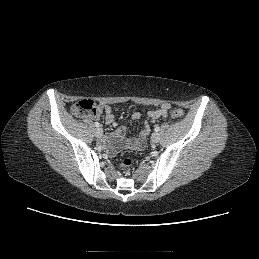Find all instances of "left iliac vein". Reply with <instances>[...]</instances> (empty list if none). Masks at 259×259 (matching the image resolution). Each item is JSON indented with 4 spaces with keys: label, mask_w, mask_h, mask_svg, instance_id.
<instances>
[{
    "label": "left iliac vein",
    "mask_w": 259,
    "mask_h": 259,
    "mask_svg": "<svg viewBox=\"0 0 259 259\" xmlns=\"http://www.w3.org/2000/svg\"><path fill=\"white\" fill-rule=\"evenodd\" d=\"M159 140H160V135H159V133L154 132V133L152 134V136H151V141H152L153 143H158Z\"/></svg>",
    "instance_id": "1"
}]
</instances>
